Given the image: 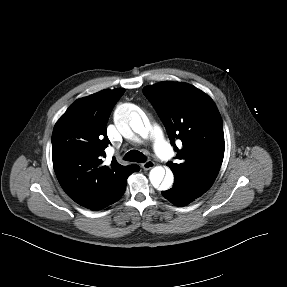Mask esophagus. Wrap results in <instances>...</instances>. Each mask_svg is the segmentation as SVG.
<instances>
[{"instance_id": "esophagus-1", "label": "esophagus", "mask_w": 287, "mask_h": 287, "mask_svg": "<svg viewBox=\"0 0 287 287\" xmlns=\"http://www.w3.org/2000/svg\"><path fill=\"white\" fill-rule=\"evenodd\" d=\"M141 166L144 170H149L155 166V163L151 160H148V161L142 163Z\"/></svg>"}]
</instances>
